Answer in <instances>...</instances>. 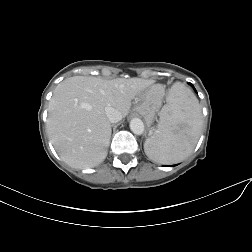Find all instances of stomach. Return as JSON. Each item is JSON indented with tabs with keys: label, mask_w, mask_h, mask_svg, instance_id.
<instances>
[{
	"label": "stomach",
	"mask_w": 252,
	"mask_h": 252,
	"mask_svg": "<svg viewBox=\"0 0 252 252\" xmlns=\"http://www.w3.org/2000/svg\"><path fill=\"white\" fill-rule=\"evenodd\" d=\"M164 95L165 92L162 86L152 85L137 96L135 111L143 116L148 124H151L161 107Z\"/></svg>",
	"instance_id": "obj_1"
}]
</instances>
